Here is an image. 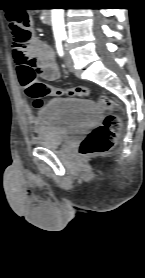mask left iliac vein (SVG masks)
<instances>
[{
    "mask_svg": "<svg viewBox=\"0 0 145 278\" xmlns=\"http://www.w3.org/2000/svg\"><path fill=\"white\" fill-rule=\"evenodd\" d=\"M65 52H66V67L69 71L72 72V71H74V63H73L72 57L68 53L67 48H65Z\"/></svg>",
    "mask_w": 145,
    "mask_h": 278,
    "instance_id": "obj_1",
    "label": "left iliac vein"
}]
</instances>
